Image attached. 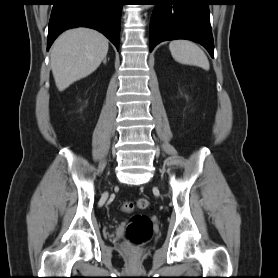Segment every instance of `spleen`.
Here are the masks:
<instances>
[{
    "label": "spleen",
    "mask_w": 278,
    "mask_h": 278,
    "mask_svg": "<svg viewBox=\"0 0 278 278\" xmlns=\"http://www.w3.org/2000/svg\"><path fill=\"white\" fill-rule=\"evenodd\" d=\"M169 49L173 58L182 64L196 65L209 70V61L203 50L192 41L179 39L171 41Z\"/></svg>",
    "instance_id": "3e777b00"
}]
</instances>
